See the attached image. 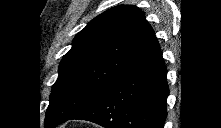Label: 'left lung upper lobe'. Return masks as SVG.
Listing matches in <instances>:
<instances>
[{
    "label": "left lung upper lobe",
    "instance_id": "left-lung-upper-lobe-1",
    "mask_svg": "<svg viewBox=\"0 0 221 128\" xmlns=\"http://www.w3.org/2000/svg\"><path fill=\"white\" fill-rule=\"evenodd\" d=\"M157 43L142 11L132 5L113 7L94 18L60 63L45 126L66 122L101 98Z\"/></svg>",
    "mask_w": 221,
    "mask_h": 128
}]
</instances>
